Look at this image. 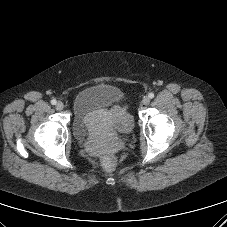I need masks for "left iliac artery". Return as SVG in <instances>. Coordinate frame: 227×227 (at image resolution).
<instances>
[{"label":"left iliac artery","instance_id":"1","mask_svg":"<svg viewBox=\"0 0 227 227\" xmlns=\"http://www.w3.org/2000/svg\"><path fill=\"white\" fill-rule=\"evenodd\" d=\"M148 96H149V98H151V99H152V98H154V93H152V92H151V93H149V95H148Z\"/></svg>","mask_w":227,"mask_h":227}]
</instances>
